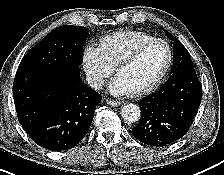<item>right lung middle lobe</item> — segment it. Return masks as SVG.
<instances>
[{"instance_id":"1","label":"right lung middle lobe","mask_w":224,"mask_h":175,"mask_svg":"<svg viewBox=\"0 0 224 175\" xmlns=\"http://www.w3.org/2000/svg\"><path fill=\"white\" fill-rule=\"evenodd\" d=\"M87 37L88 29L83 26L57 27L23 57L18 70H62L79 67L82 63L83 44Z\"/></svg>"}]
</instances>
